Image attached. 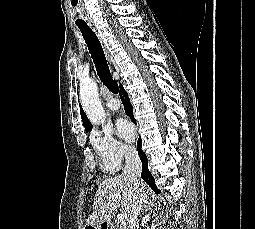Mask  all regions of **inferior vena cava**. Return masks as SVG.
<instances>
[{
    "mask_svg": "<svg viewBox=\"0 0 255 229\" xmlns=\"http://www.w3.org/2000/svg\"><path fill=\"white\" fill-rule=\"evenodd\" d=\"M125 153V166L123 169V175L133 183L134 186V198L131 209V214L128 220V226L130 229L136 224L138 214L142 208L143 202H145V195L139 185V177L142 172V164L138 155V151L133 146H127L124 150Z\"/></svg>",
    "mask_w": 255,
    "mask_h": 229,
    "instance_id": "602c4592",
    "label": "inferior vena cava"
}]
</instances>
